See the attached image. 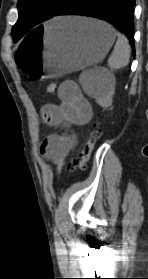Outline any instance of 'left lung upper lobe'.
Here are the masks:
<instances>
[{
	"label": "left lung upper lobe",
	"instance_id": "5c2ea615",
	"mask_svg": "<svg viewBox=\"0 0 148 279\" xmlns=\"http://www.w3.org/2000/svg\"><path fill=\"white\" fill-rule=\"evenodd\" d=\"M70 0H18V21L13 26L14 41L38 24L54 17Z\"/></svg>",
	"mask_w": 148,
	"mask_h": 279
}]
</instances>
